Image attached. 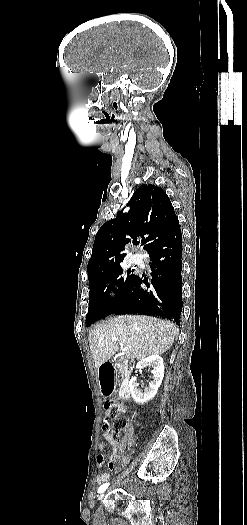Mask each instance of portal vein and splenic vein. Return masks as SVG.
Here are the masks:
<instances>
[{"label":"portal vein and splenic vein","instance_id":"portal-vein-and-splenic-vein-1","mask_svg":"<svg viewBox=\"0 0 247 525\" xmlns=\"http://www.w3.org/2000/svg\"><path fill=\"white\" fill-rule=\"evenodd\" d=\"M120 351H128V347H124L123 349V345H120Z\"/></svg>","mask_w":247,"mask_h":525}]
</instances>
